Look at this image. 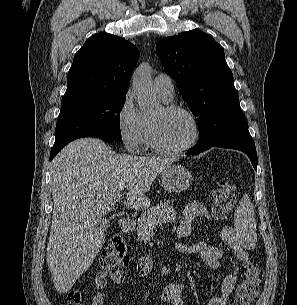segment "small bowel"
<instances>
[{"label": "small bowel", "mask_w": 297, "mask_h": 305, "mask_svg": "<svg viewBox=\"0 0 297 305\" xmlns=\"http://www.w3.org/2000/svg\"><path fill=\"white\" fill-rule=\"evenodd\" d=\"M209 217V212L201 203L194 202L186 206L183 211L181 221L177 228L179 237H188L191 234L194 223L197 219ZM221 238L224 246L228 247L237 255L241 262L248 260V252L242 241L240 234L232 227L225 226L222 230ZM173 249L180 254L191 255L199 254L207 268L217 269L220 260L224 256L223 247H213L205 241L196 244H176ZM153 261L150 256H143L137 263V274L144 277L150 273ZM239 277V268L232 273L225 275L218 286L217 294L208 302L207 305H226L232 295ZM127 279V274L123 270H116L111 273H100L96 276V292L90 305H104L108 295L106 292L107 282L111 280L116 284H123ZM161 300L170 305H184L183 286L178 282H171L165 286L161 293Z\"/></svg>", "instance_id": "small-bowel-1"}]
</instances>
